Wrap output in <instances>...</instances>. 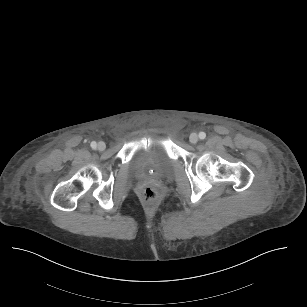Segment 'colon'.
Segmentation results:
<instances>
[{
	"mask_svg": "<svg viewBox=\"0 0 307 307\" xmlns=\"http://www.w3.org/2000/svg\"><path fill=\"white\" fill-rule=\"evenodd\" d=\"M141 199L145 203H153L157 199V192L153 188H145L141 192Z\"/></svg>",
	"mask_w": 307,
	"mask_h": 307,
	"instance_id": "1",
	"label": "colon"
}]
</instances>
